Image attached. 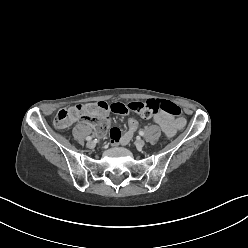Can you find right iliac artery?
Returning a JSON list of instances; mask_svg holds the SVG:
<instances>
[{"label": "right iliac artery", "instance_id": "right-iliac-artery-1", "mask_svg": "<svg viewBox=\"0 0 248 248\" xmlns=\"http://www.w3.org/2000/svg\"><path fill=\"white\" fill-rule=\"evenodd\" d=\"M86 140L90 141V140H92V137L88 136V137H86Z\"/></svg>", "mask_w": 248, "mask_h": 248}]
</instances>
